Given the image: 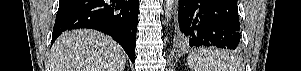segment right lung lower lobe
<instances>
[{"label":"right lung lower lobe","mask_w":301,"mask_h":71,"mask_svg":"<svg viewBox=\"0 0 301 71\" xmlns=\"http://www.w3.org/2000/svg\"><path fill=\"white\" fill-rule=\"evenodd\" d=\"M139 0H60L52 43L63 32L91 28L110 35L135 61Z\"/></svg>","instance_id":"98d812e1"}]
</instances>
